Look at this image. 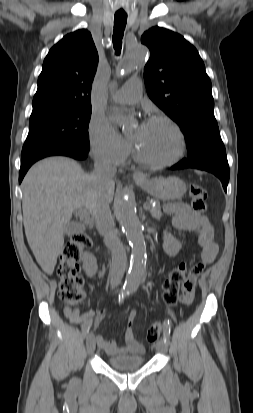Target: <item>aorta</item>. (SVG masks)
I'll return each mask as SVG.
<instances>
[{
	"mask_svg": "<svg viewBox=\"0 0 253 413\" xmlns=\"http://www.w3.org/2000/svg\"><path fill=\"white\" fill-rule=\"evenodd\" d=\"M147 54V48L141 44L129 49L125 58L117 65V74L126 75L130 73L136 64L146 59ZM111 116L123 128L128 126L125 114L118 108L111 110ZM116 212L132 251L130 267L124 284V288L131 291L137 289L146 277V244L143 227L137 216L135 205L128 196L123 195L119 198L116 204Z\"/></svg>",
	"mask_w": 253,
	"mask_h": 413,
	"instance_id": "obj_1",
	"label": "aorta"
}]
</instances>
